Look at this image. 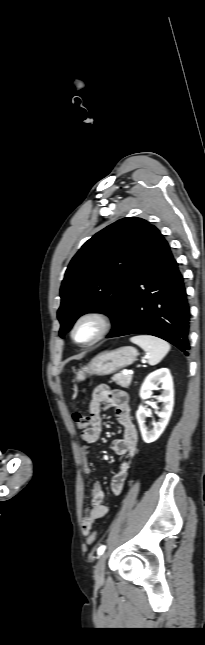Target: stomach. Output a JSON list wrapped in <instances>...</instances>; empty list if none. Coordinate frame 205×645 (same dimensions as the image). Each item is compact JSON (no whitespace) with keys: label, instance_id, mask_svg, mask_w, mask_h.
Returning a JSON list of instances; mask_svg holds the SVG:
<instances>
[{"label":"stomach","instance_id":"0dacf381","mask_svg":"<svg viewBox=\"0 0 205 645\" xmlns=\"http://www.w3.org/2000/svg\"><path fill=\"white\" fill-rule=\"evenodd\" d=\"M137 357V351L131 346L104 351L94 357L83 370L77 372L76 381H83L86 375L105 376L131 365Z\"/></svg>","mask_w":205,"mask_h":645}]
</instances>
